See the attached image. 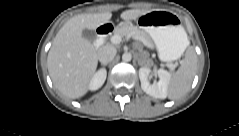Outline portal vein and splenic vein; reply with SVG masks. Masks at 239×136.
<instances>
[{"label": "portal vein and splenic vein", "instance_id": "1", "mask_svg": "<svg viewBox=\"0 0 239 136\" xmlns=\"http://www.w3.org/2000/svg\"><path fill=\"white\" fill-rule=\"evenodd\" d=\"M136 39H139V38H136ZM121 40H122V38H121V36H119V35H113V36L111 37V43H112V44H119V43L121 42ZM167 66H168L169 68H171V69L174 68V66H173L172 64H167Z\"/></svg>", "mask_w": 239, "mask_h": 136}]
</instances>
